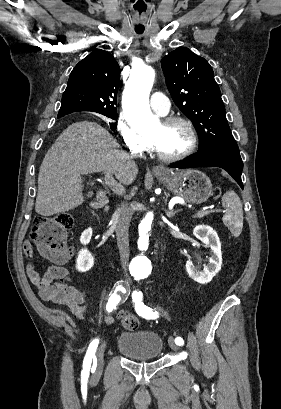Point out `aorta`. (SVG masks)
Here are the masks:
<instances>
[{"label":"aorta","instance_id":"762f6f07","mask_svg":"<svg viewBox=\"0 0 281 409\" xmlns=\"http://www.w3.org/2000/svg\"><path fill=\"white\" fill-rule=\"evenodd\" d=\"M155 72L145 64H139L131 74L123 95V110L129 124L138 133L149 132L159 125L149 106V94L153 86ZM153 213L149 212L139 225L141 233L151 228Z\"/></svg>","mask_w":281,"mask_h":409}]
</instances>
